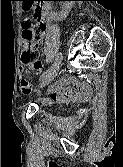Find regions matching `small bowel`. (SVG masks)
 <instances>
[{
    "label": "small bowel",
    "instance_id": "c3829d8e",
    "mask_svg": "<svg viewBox=\"0 0 123 167\" xmlns=\"http://www.w3.org/2000/svg\"><path fill=\"white\" fill-rule=\"evenodd\" d=\"M22 9H33L32 1H23ZM42 37L39 42L42 41ZM41 64L38 67L31 66L28 69H21L20 71V90L24 95H28L31 92V85L26 78L27 74L35 72L39 74L41 72ZM48 97L43 99L42 102L45 104H51L53 102H76L85 103L92 97L93 91L91 87L78 81L74 77H63L59 82L51 85L47 89Z\"/></svg>",
    "mask_w": 123,
    "mask_h": 167
}]
</instances>
